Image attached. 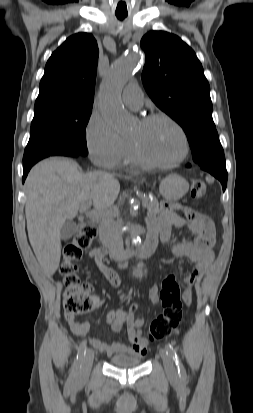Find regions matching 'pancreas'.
Wrapping results in <instances>:
<instances>
[{
	"mask_svg": "<svg viewBox=\"0 0 253 413\" xmlns=\"http://www.w3.org/2000/svg\"><path fill=\"white\" fill-rule=\"evenodd\" d=\"M141 199L143 203H147V209L149 213L156 215L160 212L159 203L156 198L150 199L147 195L142 194Z\"/></svg>",
	"mask_w": 253,
	"mask_h": 413,
	"instance_id": "1",
	"label": "pancreas"
}]
</instances>
